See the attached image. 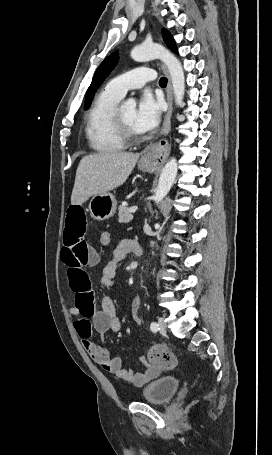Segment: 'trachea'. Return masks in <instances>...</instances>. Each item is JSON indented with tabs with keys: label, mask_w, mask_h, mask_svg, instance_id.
<instances>
[{
	"label": "trachea",
	"mask_w": 272,
	"mask_h": 455,
	"mask_svg": "<svg viewBox=\"0 0 272 455\" xmlns=\"http://www.w3.org/2000/svg\"><path fill=\"white\" fill-rule=\"evenodd\" d=\"M159 85L161 87H166L167 86V79L162 77L160 80H159Z\"/></svg>",
	"instance_id": "trachea-1"
}]
</instances>
